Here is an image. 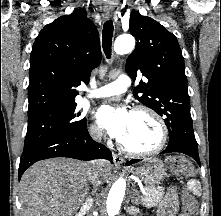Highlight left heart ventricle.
Wrapping results in <instances>:
<instances>
[{
    "instance_id": "left-heart-ventricle-1",
    "label": "left heart ventricle",
    "mask_w": 221,
    "mask_h": 216,
    "mask_svg": "<svg viewBox=\"0 0 221 216\" xmlns=\"http://www.w3.org/2000/svg\"><path fill=\"white\" fill-rule=\"evenodd\" d=\"M160 138L157 123L144 113H132L131 121L125 136L121 141L136 150L153 148Z\"/></svg>"
}]
</instances>
